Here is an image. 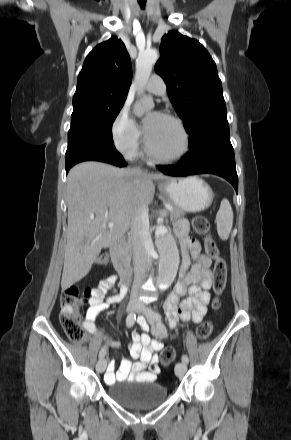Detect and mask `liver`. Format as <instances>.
<instances>
[{
	"mask_svg": "<svg viewBox=\"0 0 291 440\" xmlns=\"http://www.w3.org/2000/svg\"><path fill=\"white\" fill-rule=\"evenodd\" d=\"M169 179L138 168L120 169L88 161L67 176V244L61 286L65 290L84 278L103 248L119 241L139 208L154 198L153 180ZM114 222L112 228L104 224Z\"/></svg>",
	"mask_w": 291,
	"mask_h": 440,
	"instance_id": "1",
	"label": "liver"
}]
</instances>
